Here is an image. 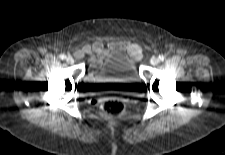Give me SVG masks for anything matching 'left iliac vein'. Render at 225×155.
<instances>
[{"mask_svg": "<svg viewBox=\"0 0 225 155\" xmlns=\"http://www.w3.org/2000/svg\"><path fill=\"white\" fill-rule=\"evenodd\" d=\"M150 62H151L152 65L155 66V65H157V64L159 63V59H157V58H152Z\"/></svg>", "mask_w": 225, "mask_h": 155, "instance_id": "obj_1", "label": "left iliac vein"}]
</instances>
